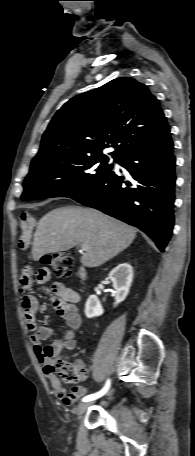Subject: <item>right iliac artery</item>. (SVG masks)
Segmentation results:
<instances>
[{"instance_id": "82829eb1", "label": "right iliac artery", "mask_w": 195, "mask_h": 456, "mask_svg": "<svg viewBox=\"0 0 195 456\" xmlns=\"http://www.w3.org/2000/svg\"><path fill=\"white\" fill-rule=\"evenodd\" d=\"M110 384H111V381H110V379H108L105 386L99 392L85 396L82 399V401L89 402V401L95 400L97 398H100L109 390Z\"/></svg>"}]
</instances>
